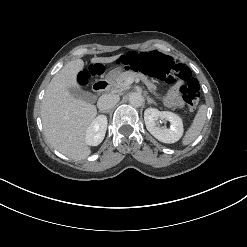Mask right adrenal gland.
<instances>
[{"mask_svg":"<svg viewBox=\"0 0 247 247\" xmlns=\"http://www.w3.org/2000/svg\"><path fill=\"white\" fill-rule=\"evenodd\" d=\"M99 112H100V113H106V114L109 113V111H101V110H99Z\"/></svg>","mask_w":247,"mask_h":247,"instance_id":"right-adrenal-gland-1","label":"right adrenal gland"}]
</instances>
